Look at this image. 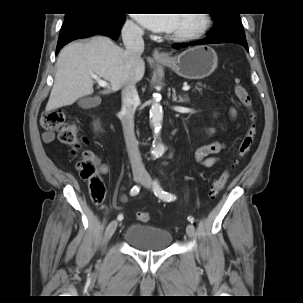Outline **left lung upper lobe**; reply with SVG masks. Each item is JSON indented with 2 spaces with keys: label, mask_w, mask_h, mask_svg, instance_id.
Segmentation results:
<instances>
[{
  "label": "left lung upper lobe",
  "mask_w": 303,
  "mask_h": 303,
  "mask_svg": "<svg viewBox=\"0 0 303 303\" xmlns=\"http://www.w3.org/2000/svg\"><path fill=\"white\" fill-rule=\"evenodd\" d=\"M214 27L209 31L207 37L218 36H245L240 15L238 13L213 14Z\"/></svg>",
  "instance_id": "1"
}]
</instances>
